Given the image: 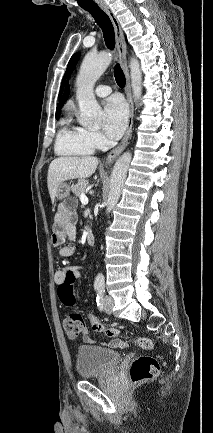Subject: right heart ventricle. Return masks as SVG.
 I'll list each match as a JSON object with an SVG mask.
<instances>
[{"label":"right heart ventricle","mask_w":213,"mask_h":433,"mask_svg":"<svg viewBox=\"0 0 213 433\" xmlns=\"http://www.w3.org/2000/svg\"><path fill=\"white\" fill-rule=\"evenodd\" d=\"M96 145L90 131L80 125H74L65 118L58 131L55 150L64 156H85L94 152Z\"/></svg>","instance_id":"e07e8e85"}]
</instances>
